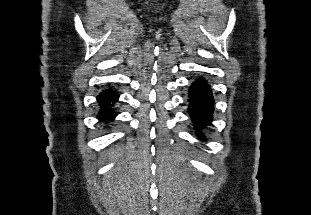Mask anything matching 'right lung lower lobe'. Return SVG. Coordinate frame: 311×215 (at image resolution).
Returning <instances> with one entry per match:
<instances>
[{
  "mask_svg": "<svg viewBox=\"0 0 311 215\" xmlns=\"http://www.w3.org/2000/svg\"><path fill=\"white\" fill-rule=\"evenodd\" d=\"M118 100V94L107 89L100 93L97 97V101L101 107L98 117L101 121H111L115 118L116 114L113 111V104Z\"/></svg>",
  "mask_w": 311,
  "mask_h": 215,
  "instance_id": "1",
  "label": "right lung lower lobe"
}]
</instances>
